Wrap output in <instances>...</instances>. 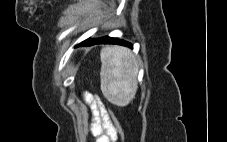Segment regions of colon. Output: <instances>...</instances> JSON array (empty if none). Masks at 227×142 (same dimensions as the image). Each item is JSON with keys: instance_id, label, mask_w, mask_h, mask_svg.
Instances as JSON below:
<instances>
[{"instance_id": "obj_1", "label": "colon", "mask_w": 227, "mask_h": 142, "mask_svg": "<svg viewBox=\"0 0 227 142\" xmlns=\"http://www.w3.org/2000/svg\"><path fill=\"white\" fill-rule=\"evenodd\" d=\"M109 115H110L112 125H113L112 134H113L115 140H117V139L122 140L123 139V133H122V129L120 127V124H119L117 118L115 117V115L111 111H109Z\"/></svg>"}]
</instances>
